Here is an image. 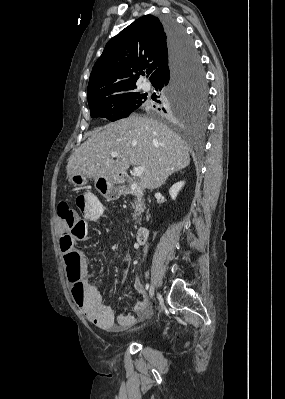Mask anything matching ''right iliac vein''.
<instances>
[{
    "mask_svg": "<svg viewBox=\"0 0 285 399\" xmlns=\"http://www.w3.org/2000/svg\"><path fill=\"white\" fill-rule=\"evenodd\" d=\"M154 292H155V285L152 284V286H151V288H150V290H149V298H150V299L153 297Z\"/></svg>",
    "mask_w": 285,
    "mask_h": 399,
    "instance_id": "right-iliac-vein-1",
    "label": "right iliac vein"
}]
</instances>
